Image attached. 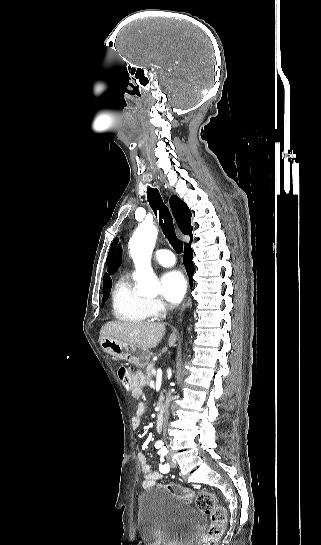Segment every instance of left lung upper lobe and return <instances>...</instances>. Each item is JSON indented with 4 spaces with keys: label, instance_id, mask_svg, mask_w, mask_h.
I'll return each mask as SVG.
<instances>
[{
    "label": "left lung upper lobe",
    "instance_id": "left-lung-upper-lobe-1",
    "mask_svg": "<svg viewBox=\"0 0 321 545\" xmlns=\"http://www.w3.org/2000/svg\"><path fill=\"white\" fill-rule=\"evenodd\" d=\"M121 247H118L117 250H116V253L114 255V258L112 260V263L109 267V272L113 273L119 266V264L121 263Z\"/></svg>",
    "mask_w": 321,
    "mask_h": 545
}]
</instances>
